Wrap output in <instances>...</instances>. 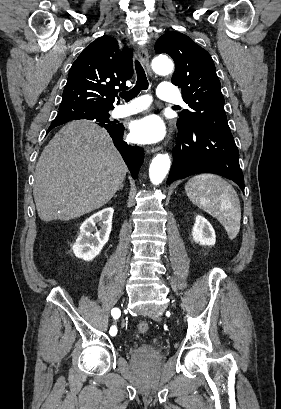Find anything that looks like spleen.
<instances>
[{
  "label": "spleen",
  "mask_w": 281,
  "mask_h": 409,
  "mask_svg": "<svg viewBox=\"0 0 281 409\" xmlns=\"http://www.w3.org/2000/svg\"><path fill=\"white\" fill-rule=\"evenodd\" d=\"M188 198L193 205L203 209L223 225L229 239H235L240 231L241 207L239 196L232 184L218 174H196L185 184Z\"/></svg>",
  "instance_id": "3e777b00"
}]
</instances>
